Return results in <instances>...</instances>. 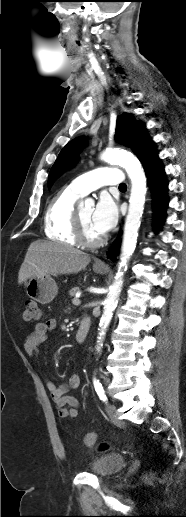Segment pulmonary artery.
Here are the masks:
<instances>
[{
  "instance_id": "pulmonary-artery-1",
  "label": "pulmonary artery",
  "mask_w": 186,
  "mask_h": 517,
  "mask_svg": "<svg viewBox=\"0 0 186 517\" xmlns=\"http://www.w3.org/2000/svg\"><path fill=\"white\" fill-rule=\"evenodd\" d=\"M123 184V173L120 169L103 167L75 178L71 183V188L81 195L107 185Z\"/></svg>"
}]
</instances>
